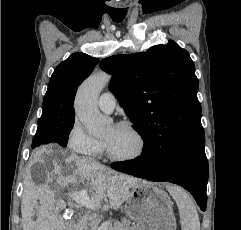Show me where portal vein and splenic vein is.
<instances>
[{
	"instance_id": "obj_1",
	"label": "portal vein and splenic vein",
	"mask_w": 241,
	"mask_h": 230,
	"mask_svg": "<svg viewBox=\"0 0 241 230\" xmlns=\"http://www.w3.org/2000/svg\"><path fill=\"white\" fill-rule=\"evenodd\" d=\"M70 198L73 199L77 204L84 206L87 209H95L99 204V200L91 199L86 191H80L75 194H71ZM97 215L94 214L92 219L96 218ZM110 223L106 222L101 225V229L105 230Z\"/></svg>"
}]
</instances>
